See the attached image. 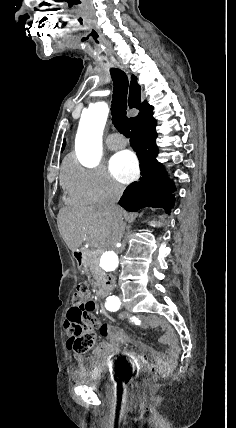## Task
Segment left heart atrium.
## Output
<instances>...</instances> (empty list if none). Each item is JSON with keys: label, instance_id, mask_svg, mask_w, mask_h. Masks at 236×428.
I'll use <instances>...</instances> for the list:
<instances>
[{"label": "left heart atrium", "instance_id": "39dd6f15", "mask_svg": "<svg viewBox=\"0 0 236 428\" xmlns=\"http://www.w3.org/2000/svg\"><path fill=\"white\" fill-rule=\"evenodd\" d=\"M109 169L111 175L122 183H129L138 175L137 160L130 151L115 155L110 161Z\"/></svg>", "mask_w": 236, "mask_h": 428}]
</instances>
